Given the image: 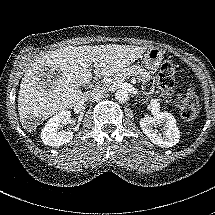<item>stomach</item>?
Returning <instances> with one entry per match:
<instances>
[{
    "instance_id": "stomach-1",
    "label": "stomach",
    "mask_w": 215,
    "mask_h": 215,
    "mask_svg": "<svg viewBox=\"0 0 215 215\" xmlns=\"http://www.w3.org/2000/svg\"><path fill=\"white\" fill-rule=\"evenodd\" d=\"M141 57L142 63L146 69L156 71L162 64L164 52L158 47H149Z\"/></svg>"
}]
</instances>
